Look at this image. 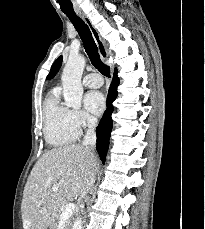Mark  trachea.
Instances as JSON below:
<instances>
[{"instance_id": "3493384b", "label": "trachea", "mask_w": 205, "mask_h": 229, "mask_svg": "<svg viewBox=\"0 0 205 229\" xmlns=\"http://www.w3.org/2000/svg\"><path fill=\"white\" fill-rule=\"evenodd\" d=\"M66 15L76 28L93 66H95L104 76L110 77V69L102 63L98 48L88 25L77 15Z\"/></svg>"}]
</instances>
